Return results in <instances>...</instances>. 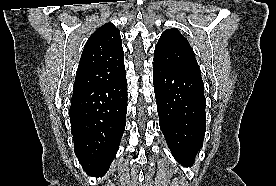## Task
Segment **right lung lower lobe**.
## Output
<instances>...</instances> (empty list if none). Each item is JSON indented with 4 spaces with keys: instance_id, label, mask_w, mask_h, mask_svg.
<instances>
[{
    "instance_id": "obj_1",
    "label": "right lung lower lobe",
    "mask_w": 276,
    "mask_h": 186,
    "mask_svg": "<svg viewBox=\"0 0 276 186\" xmlns=\"http://www.w3.org/2000/svg\"><path fill=\"white\" fill-rule=\"evenodd\" d=\"M127 113L126 74L118 80L74 89L69 116L74 151L84 171L102 177L120 145Z\"/></svg>"
}]
</instances>
